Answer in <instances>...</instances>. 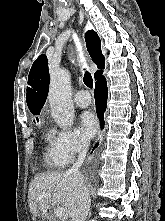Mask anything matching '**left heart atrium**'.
Instances as JSON below:
<instances>
[{
  "label": "left heart atrium",
  "instance_id": "left-heart-atrium-1",
  "mask_svg": "<svg viewBox=\"0 0 165 221\" xmlns=\"http://www.w3.org/2000/svg\"><path fill=\"white\" fill-rule=\"evenodd\" d=\"M79 124L86 137L91 138L96 134L98 122L94 113L90 111L83 112L79 117Z\"/></svg>",
  "mask_w": 165,
  "mask_h": 221
}]
</instances>
